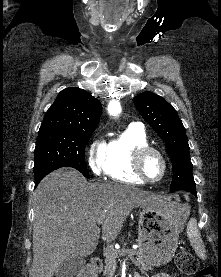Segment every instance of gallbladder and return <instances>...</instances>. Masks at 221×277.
I'll return each instance as SVG.
<instances>
[{
  "label": "gallbladder",
  "mask_w": 221,
  "mask_h": 277,
  "mask_svg": "<svg viewBox=\"0 0 221 277\" xmlns=\"http://www.w3.org/2000/svg\"><path fill=\"white\" fill-rule=\"evenodd\" d=\"M85 263L84 257L71 255L59 265L55 277H74L81 271Z\"/></svg>",
  "instance_id": "obj_1"
}]
</instances>
